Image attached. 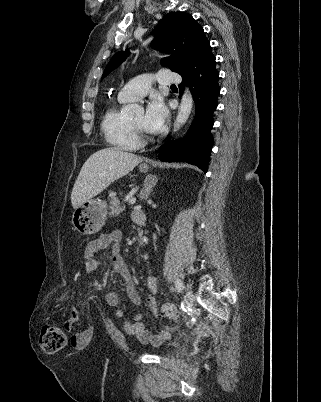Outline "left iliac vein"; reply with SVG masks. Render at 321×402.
I'll use <instances>...</instances> for the list:
<instances>
[{"label":"left iliac vein","mask_w":321,"mask_h":402,"mask_svg":"<svg viewBox=\"0 0 321 402\" xmlns=\"http://www.w3.org/2000/svg\"><path fill=\"white\" fill-rule=\"evenodd\" d=\"M194 294L191 290H187L184 296V303L185 306L188 308L193 307V303H194Z\"/></svg>","instance_id":"1"}]
</instances>
